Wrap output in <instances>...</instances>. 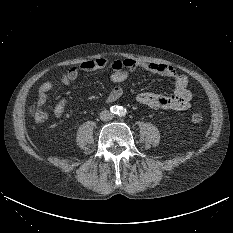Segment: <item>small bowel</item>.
<instances>
[{
	"label": "small bowel",
	"mask_w": 233,
	"mask_h": 233,
	"mask_svg": "<svg viewBox=\"0 0 233 233\" xmlns=\"http://www.w3.org/2000/svg\"><path fill=\"white\" fill-rule=\"evenodd\" d=\"M108 67L111 70L110 80L114 83L126 81L131 73L136 70H144L150 73L168 77L174 84V91L171 94L162 92H143L137 96V101L153 109L180 111L190 107L192 93L188 89V77L185 74H178L176 70L166 64H158L133 59H116L113 61L104 57L84 61L70 68L65 74L60 76V82L69 86L82 72H93ZM54 86V80L42 83L38 89V99L36 110L44 109L47 95ZM124 94V87L117 85L112 88L105 96V102L112 103L117 101ZM66 100H60L54 107V116L60 119L66 107ZM46 112V110H45ZM47 117V112H46ZM45 117V118H46Z\"/></svg>",
	"instance_id": "c3829d8e"
}]
</instances>
